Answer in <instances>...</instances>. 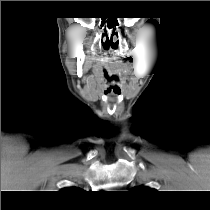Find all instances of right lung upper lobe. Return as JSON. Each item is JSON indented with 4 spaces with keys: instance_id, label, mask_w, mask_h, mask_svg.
<instances>
[{
    "instance_id": "1",
    "label": "right lung upper lobe",
    "mask_w": 210,
    "mask_h": 210,
    "mask_svg": "<svg viewBox=\"0 0 210 210\" xmlns=\"http://www.w3.org/2000/svg\"><path fill=\"white\" fill-rule=\"evenodd\" d=\"M71 190H77V188H65L63 191H71Z\"/></svg>"
}]
</instances>
